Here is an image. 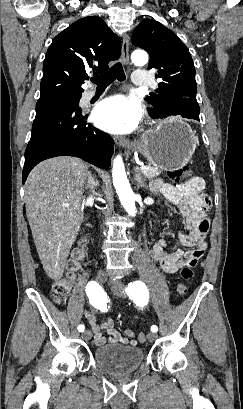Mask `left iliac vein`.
<instances>
[{"label": "left iliac vein", "instance_id": "obj_1", "mask_svg": "<svg viewBox=\"0 0 243 409\" xmlns=\"http://www.w3.org/2000/svg\"><path fill=\"white\" fill-rule=\"evenodd\" d=\"M109 286L115 295L119 297L123 296L125 286L120 280L110 279ZM156 338H157V335L154 332H149L147 334V339L149 342L155 341Z\"/></svg>", "mask_w": 243, "mask_h": 409}]
</instances>
